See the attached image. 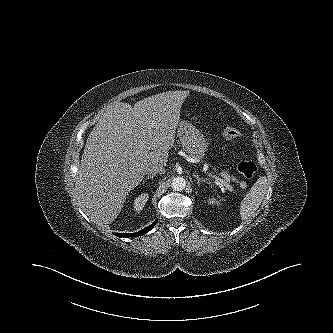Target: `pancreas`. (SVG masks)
Here are the masks:
<instances>
[{"instance_id":"1","label":"pancreas","mask_w":333,"mask_h":333,"mask_svg":"<svg viewBox=\"0 0 333 333\" xmlns=\"http://www.w3.org/2000/svg\"><path fill=\"white\" fill-rule=\"evenodd\" d=\"M190 157L194 158L192 155H190ZM221 176L224 178V180H226L227 182H230V180L235 181V177H231L227 172H221Z\"/></svg>"}]
</instances>
